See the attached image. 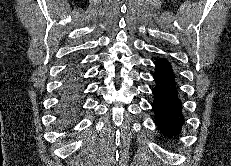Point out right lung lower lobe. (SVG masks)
I'll list each match as a JSON object with an SVG mask.
<instances>
[{
  "mask_svg": "<svg viewBox=\"0 0 231 166\" xmlns=\"http://www.w3.org/2000/svg\"><path fill=\"white\" fill-rule=\"evenodd\" d=\"M81 72L82 68L77 63L66 70L57 107L59 124L62 126H69L77 119L83 91Z\"/></svg>",
  "mask_w": 231,
  "mask_h": 166,
  "instance_id": "98d812e1",
  "label": "right lung lower lobe"
}]
</instances>
